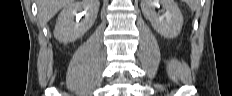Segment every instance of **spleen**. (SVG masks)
<instances>
[{
    "label": "spleen",
    "mask_w": 232,
    "mask_h": 96,
    "mask_svg": "<svg viewBox=\"0 0 232 96\" xmlns=\"http://www.w3.org/2000/svg\"><path fill=\"white\" fill-rule=\"evenodd\" d=\"M186 3L193 11H196L198 9V5H199L198 0H186Z\"/></svg>",
    "instance_id": "1"
}]
</instances>
